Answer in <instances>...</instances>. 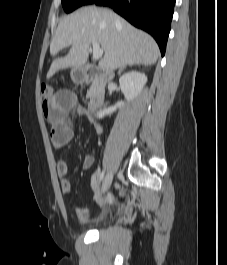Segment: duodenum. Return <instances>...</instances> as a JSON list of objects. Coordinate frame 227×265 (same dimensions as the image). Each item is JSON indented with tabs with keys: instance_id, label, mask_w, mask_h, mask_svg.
<instances>
[{
	"instance_id": "410a0bca",
	"label": "duodenum",
	"mask_w": 227,
	"mask_h": 265,
	"mask_svg": "<svg viewBox=\"0 0 227 265\" xmlns=\"http://www.w3.org/2000/svg\"><path fill=\"white\" fill-rule=\"evenodd\" d=\"M75 79L81 84L94 83L95 89L89 101L88 109L91 113H97L104 102L105 77L93 67L83 66L77 71Z\"/></svg>"
}]
</instances>
